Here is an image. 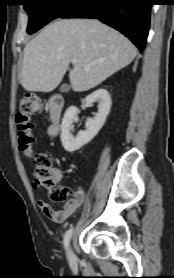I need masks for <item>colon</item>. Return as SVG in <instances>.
Instances as JSON below:
<instances>
[{"label": "colon", "instance_id": "obj_1", "mask_svg": "<svg viewBox=\"0 0 174 278\" xmlns=\"http://www.w3.org/2000/svg\"><path fill=\"white\" fill-rule=\"evenodd\" d=\"M42 104L35 96L28 95L21 99L16 113L19 148L26 155L32 154L33 138L31 135V116L39 113ZM33 176L38 187L49 192L50 199L60 202L66 199L68 191L57 183V171L53 166V157L48 152L38 154L34 160Z\"/></svg>", "mask_w": 174, "mask_h": 278}]
</instances>
